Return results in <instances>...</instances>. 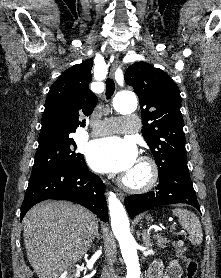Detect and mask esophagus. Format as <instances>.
I'll use <instances>...</instances> for the list:
<instances>
[{
	"label": "esophagus",
	"mask_w": 221,
	"mask_h": 278,
	"mask_svg": "<svg viewBox=\"0 0 221 278\" xmlns=\"http://www.w3.org/2000/svg\"><path fill=\"white\" fill-rule=\"evenodd\" d=\"M118 57H116V59H115V61L111 64V66H110V72H109V74H110V77L111 78H113L114 77V75H115V71H116V69H117V67H118ZM116 194H117V196L120 198V199H123L124 198V194L121 192V191H117L116 192Z\"/></svg>",
	"instance_id": "esophagus-1"
}]
</instances>
